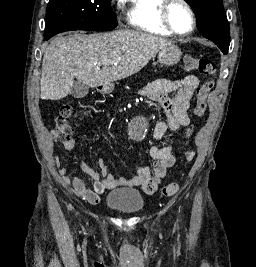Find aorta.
I'll use <instances>...</instances> for the list:
<instances>
[{
  "label": "aorta",
  "instance_id": "aorta-1",
  "mask_svg": "<svg viewBox=\"0 0 256 267\" xmlns=\"http://www.w3.org/2000/svg\"><path fill=\"white\" fill-rule=\"evenodd\" d=\"M132 122H136V127H144L145 123L141 122V117H132ZM152 128H129L128 138H149Z\"/></svg>",
  "mask_w": 256,
  "mask_h": 267
}]
</instances>
